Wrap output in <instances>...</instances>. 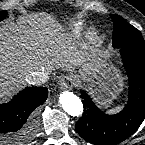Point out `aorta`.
Instances as JSON below:
<instances>
[{"mask_svg":"<svg viewBox=\"0 0 145 145\" xmlns=\"http://www.w3.org/2000/svg\"><path fill=\"white\" fill-rule=\"evenodd\" d=\"M59 101L64 111L73 117H79L83 113V104L81 99L73 92H62Z\"/></svg>","mask_w":145,"mask_h":145,"instance_id":"762f6f07","label":"aorta"}]
</instances>
